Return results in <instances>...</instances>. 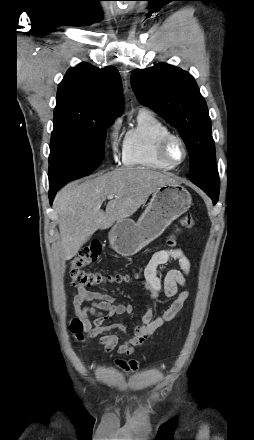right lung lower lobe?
<instances>
[{
    "label": "right lung lower lobe",
    "instance_id": "98d812e1",
    "mask_svg": "<svg viewBox=\"0 0 254 440\" xmlns=\"http://www.w3.org/2000/svg\"><path fill=\"white\" fill-rule=\"evenodd\" d=\"M63 185L64 184H56L54 186H50V190H49L50 204H52L55 194Z\"/></svg>",
    "mask_w": 254,
    "mask_h": 440
}]
</instances>
